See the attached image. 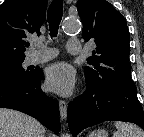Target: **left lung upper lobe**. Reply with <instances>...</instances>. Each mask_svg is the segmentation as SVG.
Returning <instances> with one entry per match:
<instances>
[{
  "instance_id": "1",
  "label": "left lung upper lobe",
  "mask_w": 144,
  "mask_h": 137,
  "mask_svg": "<svg viewBox=\"0 0 144 137\" xmlns=\"http://www.w3.org/2000/svg\"><path fill=\"white\" fill-rule=\"evenodd\" d=\"M77 10L83 23L82 36L93 39L96 49L85 67L87 87L136 88L129 63L130 36L125 18L105 0H78Z\"/></svg>"
}]
</instances>
